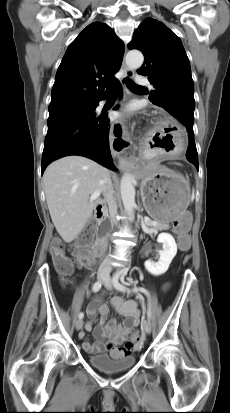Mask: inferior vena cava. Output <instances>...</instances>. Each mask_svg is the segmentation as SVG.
Listing matches in <instances>:
<instances>
[{"mask_svg":"<svg viewBox=\"0 0 230 413\" xmlns=\"http://www.w3.org/2000/svg\"><path fill=\"white\" fill-rule=\"evenodd\" d=\"M106 183L108 184V191L106 192V201L109 207V214L111 218L112 224H116V215H117V203L116 199L113 196V191L111 188V179L110 176L106 179ZM112 270L111 261L110 259H105L99 267V272H105L109 274Z\"/></svg>","mask_w":230,"mask_h":413,"instance_id":"obj_1","label":"inferior vena cava"}]
</instances>
